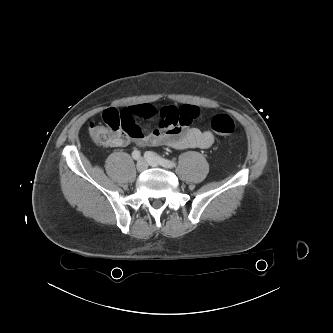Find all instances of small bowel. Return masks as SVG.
I'll return each instance as SVG.
<instances>
[{
    "label": "small bowel",
    "instance_id": "obj_1",
    "mask_svg": "<svg viewBox=\"0 0 333 333\" xmlns=\"http://www.w3.org/2000/svg\"><path fill=\"white\" fill-rule=\"evenodd\" d=\"M135 119H157L155 128L141 127L136 124V131L127 134L119 132L111 146L123 147L134 141L138 145L168 146L174 149H207L214 143L210 131H202L191 126L200 115L196 106H167L156 109L151 105H139L127 110Z\"/></svg>",
    "mask_w": 333,
    "mask_h": 333
}]
</instances>
